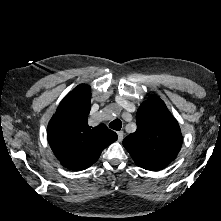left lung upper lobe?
<instances>
[{"instance_id":"1","label":"left lung upper lobe","mask_w":221,"mask_h":221,"mask_svg":"<svg viewBox=\"0 0 221 221\" xmlns=\"http://www.w3.org/2000/svg\"><path fill=\"white\" fill-rule=\"evenodd\" d=\"M137 130L123 140L135 163L146 170H160L170 164L182 145L176 119L157 96L141 104L136 114Z\"/></svg>"}]
</instances>
